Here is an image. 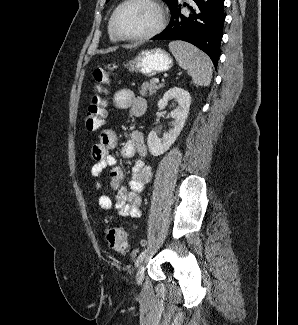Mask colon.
Listing matches in <instances>:
<instances>
[{"label":"colon","mask_w":298,"mask_h":325,"mask_svg":"<svg viewBox=\"0 0 298 325\" xmlns=\"http://www.w3.org/2000/svg\"><path fill=\"white\" fill-rule=\"evenodd\" d=\"M116 70L114 64H108L105 68L98 67L93 71L95 92L91 98L90 105L85 116V126L90 132L99 130L106 118L105 100L106 85L109 83L110 75ZM109 221V218L107 219ZM105 240L109 247L118 253H126L129 248L128 234L119 226L111 225L105 230Z\"/></svg>","instance_id":"colon-1"}]
</instances>
